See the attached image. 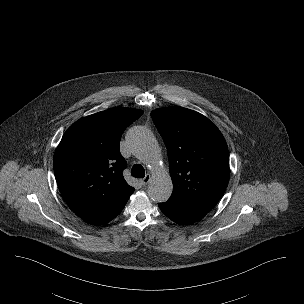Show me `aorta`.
<instances>
[{"label": "aorta", "instance_id": "obj_1", "mask_svg": "<svg viewBox=\"0 0 304 304\" xmlns=\"http://www.w3.org/2000/svg\"><path fill=\"white\" fill-rule=\"evenodd\" d=\"M133 154L151 171L148 195L155 202L169 199L173 185L169 172L163 165L161 152L153 134L144 127L133 128L128 135Z\"/></svg>", "mask_w": 304, "mask_h": 304}]
</instances>
